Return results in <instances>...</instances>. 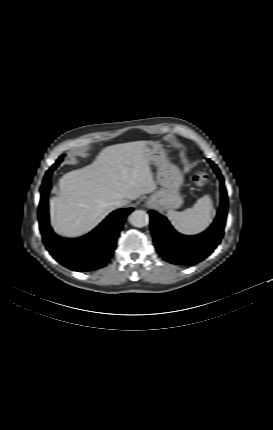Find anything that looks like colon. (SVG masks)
<instances>
[{
    "label": "colon",
    "mask_w": 273,
    "mask_h": 430,
    "mask_svg": "<svg viewBox=\"0 0 273 430\" xmlns=\"http://www.w3.org/2000/svg\"><path fill=\"white\" fill-rule=\"evenodd\" d=\"M193 180L197 186L203 188L208 184L209 177L206 173L200 172L194 176Z\"/></svg>",
    "instance_id": "1"
}]
</instances>
